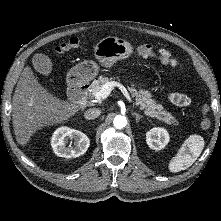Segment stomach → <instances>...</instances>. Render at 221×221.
<instances>
[{"label":"stomach","instance_id":"1","mask_svg":"<svg viewBox=\"0 0 221 221\" xmlns=\"http://www.w3.org/2000/svg\"><path fill=\"white\" fill-rule=\"evenodd\" d=\"M133 53L134 48L128 41L114 36L106 37L94 46V56L105 68L129 58ZM98 72L99 65L95 61L85 60L69 71L67 79L69 84L76 86L93 80Z\"/></svg>","mask_w":221,"mask_h":221}]
</instances>
